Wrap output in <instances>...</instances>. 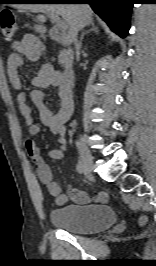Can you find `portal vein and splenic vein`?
<instances>
[{"instance_id":"1","label":"portal vein and splenic vein","mask_w":156,"mask_h":266,"mask_svg":"<svg viewBox=\"0 0 156 266\" xmlns=\"http://www.w3.org/2000/svg\"><path fill=\"white\" fill-rule=\"evenodd\" d=\"M43 13H45V12H43ZM49 16H50L51 20L55 23V26L59 30L65 31L67 29L66 22L65 21H62L58 15L53 14V13H49Z\"/></svg>"}]
</instances>
